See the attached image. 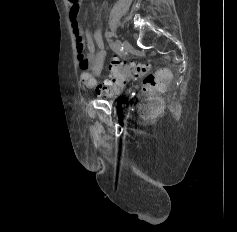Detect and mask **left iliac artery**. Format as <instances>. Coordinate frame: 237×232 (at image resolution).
<instances>
[{
    "label": "left iliac artery",
    "mask_w": 237,
    "mask_h": 232,
    "mask_svg": "<svg viewBox=\"0 0 237 232\" xmlns=\"http://www.w3.org/2000/svg\"><path fill=\"white\" fill-rule=\"evenodd\" d=\"M112 36H113V33H112V32H107V33H106V37H107V38H111Z\"/></svg>",
    "instance_id": "left-iliac-artery-1"
}]
</instances>
